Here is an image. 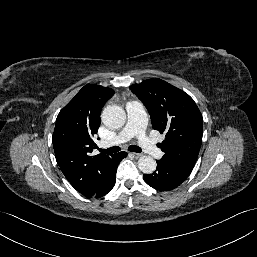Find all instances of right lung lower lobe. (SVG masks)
<instances>
[{
	"instance_id": "1",
	"label": "right lung lower lobe",
	"mask_w": 257,
	"mask_h": 257,
	"mask_svg": "<svg viewBox=\"0 0 257 257\" xmlns=\"http://www.w3.org/2000/svg\"><path fill=\"white\" fill-rule=\"evenodd\" d=\"M126 156H127V153L124 151L111 156L110 160L108 161L105 167V172L98 188L94 191V193L86 197L99 198L106 195L109 191L112 190V188L115 185V175H116L117 166L119 165L120 161Z\"/></svg>"
}]
</instances>
